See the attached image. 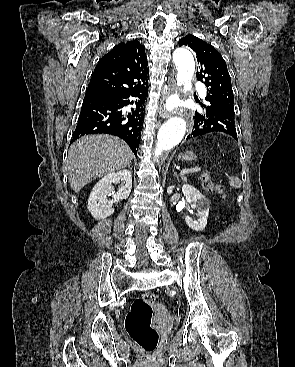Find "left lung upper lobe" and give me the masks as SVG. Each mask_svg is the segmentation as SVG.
Listing matches in <instances>:
<instances>
[{"instance_id":"1","label":"left lung upper lobe","mask_w":295,"mask_h":367,"mask_svg":"<svg viewBox=\"0 0 295 367\" xmlns=\"http://www.w3.org/2000/svg\"><path fill=\"white\" fill-rule=\"evenodd\" d=\"M178 44L189 46L197 55L200 71L197 72L196 77L207 87L206 100L210 104H221L234 108L231 77L225 60L217 50L194 35L181 38Z\"/></svg>"}]
</instances>
